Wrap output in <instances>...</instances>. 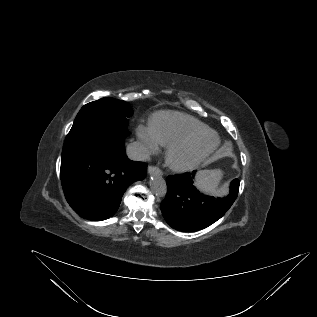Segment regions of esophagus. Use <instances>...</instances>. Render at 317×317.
Segmentation results:
<instances>
[{
    "label": "esophagus",
    "mask_w": 317,
    "mask_h": 317,
    "mask_svg": "<svg viewBox=\"0 0 317 317\" xmlns=\"http://www.w3.org/2000/svg\"><path fill=\"white\" fill-rule=\"evenodd\" d=\"M148 174H156V175H160V176H162V171L158 168V167H156V166H149L148 167Z\"/></svg>",
    "instance_id": "1"
}]
</instances>
